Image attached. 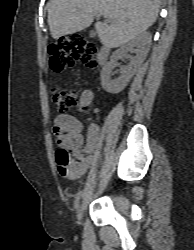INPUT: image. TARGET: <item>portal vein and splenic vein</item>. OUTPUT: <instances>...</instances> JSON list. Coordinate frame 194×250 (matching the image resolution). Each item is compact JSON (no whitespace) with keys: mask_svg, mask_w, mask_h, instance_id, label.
<instances>
[{"mask_svg":"<svg viewBox=\"0 0 194 250\" xmlns=\"http://www.w3.org/2000/svg\"><path fill=\"white\" fill-rule=\"evenodd\" d=\"M95 16H96V17H100V14L96 13Z\"/></svg>","mask_w":194,"mask_h":250,"instance_id":"obj_1","label":"portal vein and splenic vein"}]
</instances>
